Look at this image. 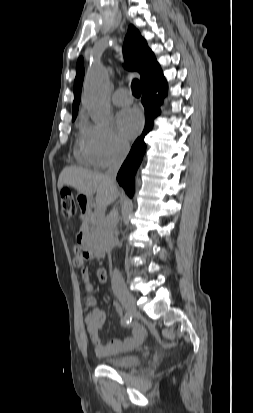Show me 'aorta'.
<instances>
[{
    "label": "aorta",
    "mask_w": 253,
    "mask_h": 413,
    "mask_svg": "<svg viewBox=\"0 0 253 413\" xmlns=\"http://www.w3.org/2000/svg\"><path fill=\"white\" fill-rule=\"evenodd\" d=\"M110 90L107 70L102 65H93L85 78L83 103L96 123L106 124L111 117Z\"/></svg>",
    "instance_id": "obj_1"
}]
</instances>
